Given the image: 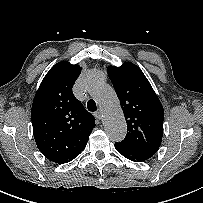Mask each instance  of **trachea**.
Returning <instances> with one entry per match:
<instances>
[{"mask_svg": "<svg viewBox=\"0 0 203 203\" xmlns=\"http://www.w3.org/2000/svg\"><path fill=\"white\" fill-rule=\"evenodd\" d=\"M87 108L91 112H95L97 110L96 102L94 100H89L87 102Z\"/></svg>", "mask_w": 203, "mask_h": 203, "instance_id": "trachea-1", "label": "trachea"}]
</instances>
